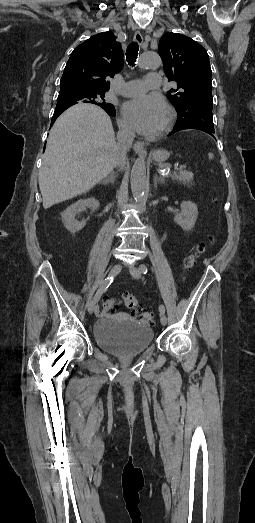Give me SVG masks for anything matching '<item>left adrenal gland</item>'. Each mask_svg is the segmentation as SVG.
<instances>
[{
	"instance_id": "left-adrenal-gland-1",
	"label": "left adrenal gland",
	"mask_w": 255,
	"mask_h": 523,
	"mask_svg": "<svg viewBox=\"0 0 255 523\" xmlns=\"http://www.w3.org/2000/svg\"><path fill=\"white\" fill-rule=\"evenodd\" d=\"M153 182L154 188H157L158 182H160V184H164V178H159L158 174H155Z\"/></svg>"
}]
</instances>
